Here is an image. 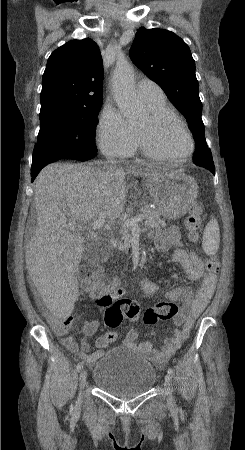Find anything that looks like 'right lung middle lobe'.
Instances as JSON below:
<instances>
[{
  "label": "right lung middle lobe",
  "mask_w": 245,
  "mask_h": 450,
  "mask_svg": "<svg viewBox=\"0 0 245 450\" xmlns=\"http://www.w3.org/2000/svg\"><path fill=\"white\" fill-rule=\"evenodd\" d=\"M101 106L75 108L57 104L41 109L38 148L33 151L32 166L65 153L97 152L93 128Z\"/></svg>",
  "instance_id": "obj_1"
}]
</instances>
